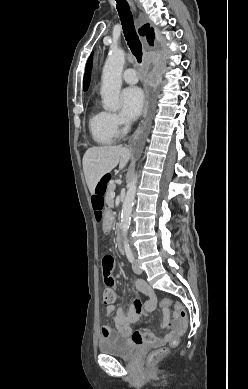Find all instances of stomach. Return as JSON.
I'll return each mask as SVG.
<instances>
[{
	"instance_id": "obj_1",
	"label": "stomach",
	"mask_w": 248,
	"mask_h": 389,
	"mask_svg": "<svg viewBox=\"0 0 248 389\" xmlns=\"http://www.w3.org/2000/svg\"><path fill=\"white\" fill-rule=\"evenodd\" d=\"M103 212L105 213L104 218L106 219L104 221V230L103 233L105 235H111L114 231V220H116V213H112L113 209L111 207H105L103 209Z\"/></svg>"
}]
</instances>
